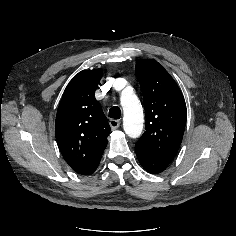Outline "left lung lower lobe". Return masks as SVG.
<instances>
[{"mask_svg":"<svg viewBox=\"0 0 236 236\" xmlns=\"http://www.w3.org/2000/svg\"><path fill=\"white\" fill-rule=\"evenodd\" d=\"M136 155L143 168L152 174L163 172L170 164L165 160L158 159L139 150H136Z\"/></svg>","mask_w":236,"mask_h":236,"instance_id":"obj_1","label":"left lung lower lobe"}]
</instances>
